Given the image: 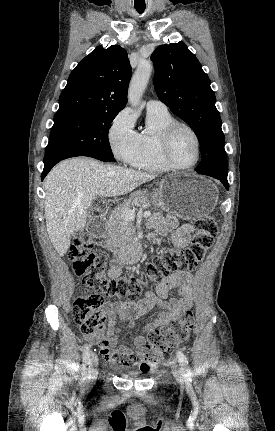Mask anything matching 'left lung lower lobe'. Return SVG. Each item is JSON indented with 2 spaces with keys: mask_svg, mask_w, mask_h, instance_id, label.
I'll list each match as a JSON object with an SVG mask.
<instances>
[{
  "mask_svg": "<svg viewBox=\"0 0 275 431\" xmlns=\"http://www.w3.org/2000/svg\"><path fill=\"white\" fill-rule=\"evenodd\" d=\"M200 174L212 176V177H214L216 179H219L223 183V185L226 187V189L229 188V184H228V181H227V174H224V173H212V172H206V171H203Z\"/></svg>",
  "mask_w": 275,
  "mask_h": 431,
  "instance_id": "left-lung-lower-lobe-1",
  "label": "left lung lower lobe"
}]
</instances>
